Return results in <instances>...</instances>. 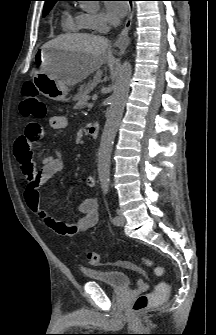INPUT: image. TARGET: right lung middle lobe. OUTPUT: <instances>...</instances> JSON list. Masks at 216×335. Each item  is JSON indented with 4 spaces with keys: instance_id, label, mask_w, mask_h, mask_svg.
Listing matches in <instances>:
<instances>
[{
    "instance_id": "dd1d6c3e",
    "label": "right lung middle lobe",
    "mask_w": 216,
    "mask_h": 335,
    "mask_svg": "<svg viewBox=\"0 0 216 335\" xmlns=\"http://www.w3.org/2000/svg\"><path fill=\"white\" fill-rule=\"evenodd\" d=\"M53 5L54 4L44 6L43 16H46L48 14V12L51 10Z\"/></svg>"
}]
</instances>
